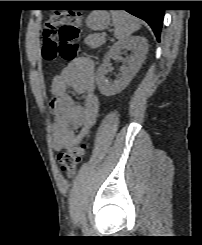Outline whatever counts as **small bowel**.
Returning a JSON list of instances; mask_svg holds the SVG:
<instances>
[{
    "label": "small bowel",
    "mask_w": 202,
    "mask_h": 245,
    "mask_svg": "<svg viewBox=\"0 0 202 245\" xmlns=\"http://www.w3.org/2000/svg\"><path fill=\"white\" fill-rule=\"evenodd\" d=\"M95 64L92 60L69 62L52 80L51 93L54 114L52 145L57 152L78 144L95 124L100 101L94 93ZM81 95L77 101L67 89Z\"/></svg>",
    "instance_id": "small-bowel-1"
}]
</instances>
